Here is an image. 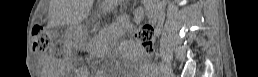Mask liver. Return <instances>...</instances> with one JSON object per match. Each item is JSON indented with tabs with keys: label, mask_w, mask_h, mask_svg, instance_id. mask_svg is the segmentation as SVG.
Returning a JSON list of instances; mask_svg holds the SVG:
<instances>
[{
	"label": "liver",
	"mask_w": 258,
	"mask_h": 77,
	"mask_svg": "<svg viewBox=\"0 0 258 77\" xmlns=\"http://www.w3.org/2000/svg\"><path fill=\"white\" fill-rule=\"evenodd\" d=\"M72 20L75 21V12L72 15Z\"/></svg>",
	"instance_id": "obj_1"
}]
</instances>
